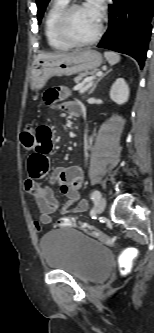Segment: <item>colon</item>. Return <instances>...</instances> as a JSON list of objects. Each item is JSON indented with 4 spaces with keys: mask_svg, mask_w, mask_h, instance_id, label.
Masks as SVG:
<instances>
[{
    "mask_svg": "<svg viewBox=\"0 0 154 333\" xmlns=\"http://www.w3.org/2000/svg\"><path fill=\"white\" fill-rule=\"evenodd\" d=\"M21 145L25 151H31L34 147V127H27L21 132ZM57 225L62 228L72 227L75 225V221L71 217H62L58 220ZM82 230L88 235L98 239L106 245L112 246L114 244V239L103 232H101L95 226L83 223L81 225ZM137 255V250L134 248H129L124 253L121 261V271L123 273H128L132 267V262Z\"/></svg>",
    "mask_w": 154,
    "mask_h": 333,
    "instance_id": "1",
    "label": "colon"
}]
</instances>
